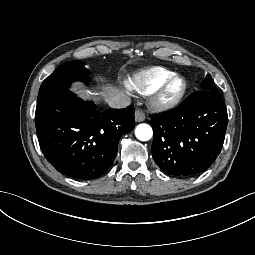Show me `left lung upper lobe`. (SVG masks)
Instances as JSON below:
<instances>
[{"label": "left lung upper lobe", "instance_id": "5c2ea615", "mask_svg": "<svg viewBox=\"0 0 255 255\" xmlns=\"http://www.w3.org/2000/svg\"><path fill=\"white\" fill-rule=\"evenodd\" d=\"M201 87L204 91H212L219 94L216 86L214 85V81L209 74H207L205 80L201 83Z\"/></svg>", "mask_w": 255, "mask_h": 255}]
</instances>
